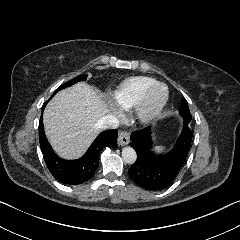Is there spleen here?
<instances>
[{"instance_id":"3e777b00","label":"spleen","mask_w":240,"mask_h":240,"mask_svg":"<svg viewBox=\"0 0 240 240\" xmlns=\"http://www.w3.org/2000/svg\"><path fill=\"white\" fill-rule=\"evenodd\" d=\"M154 150L157 152V153H162L165 151V147L164 146H155Z\"/></svg>"}]
</instances>
